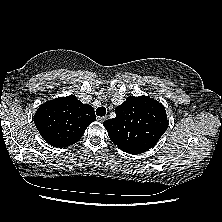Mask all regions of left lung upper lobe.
Listing matches in <instances>:
<instances>
[{
    "label": "left lung upper lobe",
    "instance_id": "5c2ea615",
    "mask_svg": "<svg viewBox=\"0 0 222 222\" xmlns=\"http://www.w3.org/2000/svg\"><path fill=\"white\" fill-rule=\"evenodd\" d=\"M115 113L116 117L103 125L111 141L123 151L149 150L168 127L164 106L147 96L127 97Z\"/></svg>",
    "mask_w": 222,
    "mask_h": 222
}]
</instances>
